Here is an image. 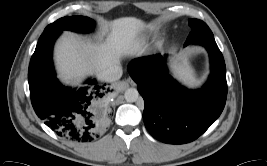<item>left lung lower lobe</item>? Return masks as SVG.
I'll use <instances>...</instances> for the list:
<instances>
[{
    "label": "left lung lower lobe",
    "instance_id": "left-lung-lower-lobe-1",
    "mask_svg": "<svg viewBox=\"0 0 267 166\" xmlns=\"http://www.w3.org/2000/svg\"><path fill=\"white\" fill-rule=\"evenodd\" d=\"M189 44L202 45L209 52L211 74L201 89L190 90L177 83L167 72L166 55L136 58L128 65L144 99L147 130L168 144L197 139L220 116L226 102V66L213 34L200 36Z\"/></svg>",
    "mask_w": 267,
    "mask_h": 166
}]
</instances>
